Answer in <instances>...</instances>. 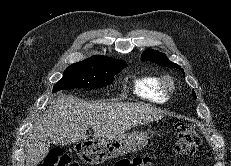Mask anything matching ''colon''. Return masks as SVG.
<instances>
[{
  "mask_svg": "<svg viewBox=\"0 0 231 166\" xmlns=\"http://www.w3.org/2000/svg\"><path fill=\"white\" fill-rule=\"evenodd\" d=\"M176 131L179 136L176 142L177 153L184 157L194 155L200 144L197 128L190 124L178 123ZM40 166H80V163L56 147L50 149ZM114 166H150V159L145 156L122 157L114 163Z\"/></svg>",
  "mask_w": 231,
  "mask_h": 166,
  "instance_id": "obj_1",
  "label": "colon"
}]
</instances>
